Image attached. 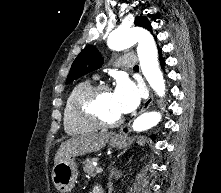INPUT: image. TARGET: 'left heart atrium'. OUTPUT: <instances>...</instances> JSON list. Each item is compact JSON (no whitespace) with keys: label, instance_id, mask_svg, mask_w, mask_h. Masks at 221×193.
Here are the masks:
<instances>
[{"label":"left heart atrium","instance_id":"obj_1","mask_svg":"<svg viewBox=\"0 0 221 193\" xmlns=\"http://www.w3.org/2000/svg\"><path fill=\"white\" fill-rule=\"evenodd\" d=\"M113 100L121 114L134 111L142 97L141 89L127 78H120L113 90Z\"/></svg>","mask_w":221,"mask_h":193}]
</instances>
